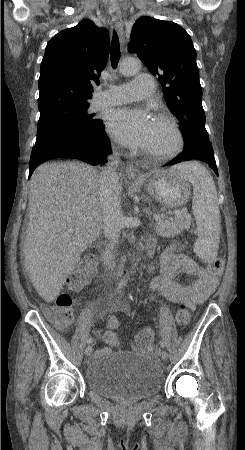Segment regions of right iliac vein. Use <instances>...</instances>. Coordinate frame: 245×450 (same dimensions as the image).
Segmentation results:
<instances>
[{"instance_id":"63e3f726","label":"right iliac vein","mask_w":245,"mask_h":450,"mask_svg":"<svg viewBox=\"0 0 245 450\" xmlns=\"http://www.w3.org/2000/svg\"><path fill=\"white\" fill-rule=\"evenodd\" d=\"M92 350H93L92 346H87V348L85 349V354L87 356L91 355Z\"/></svg>"}]
</instances>
